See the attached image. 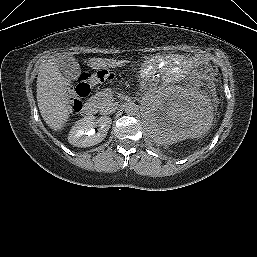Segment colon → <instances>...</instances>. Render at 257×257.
<instances>
[{"instance_id": "colon-1", "label": "colon", "mask_w": 257, "mask_h": 257, "mask_svg": "<svg viewBox=\"0 0 257 257\" xmlns=\"http://www.w3.org/2000/svg\"><path fill=\"white\" fill-rule=\"evenodd\" d=\"M195 57L201 63H206L209 61V56L204 53H198ZM113 78L114 73L110 70H101L94 74L81 75V77L79 78L78 85L75 89V98L72 102L73 109L76 110L79 107V98L86 97L90 93L92 87L95 84L107 82L112 80Z\"/></svg>"}]
</instances>
